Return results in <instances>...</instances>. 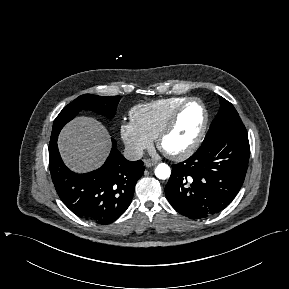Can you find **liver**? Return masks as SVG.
<instances>
[{
	"mask_svg": "<svg viewBox=\"0 0 289 289\" xmlns=\"http://www.w3.org/2000/svg\"><path fill=\"white\" fill-rule=\"evenodd\" d=\"M58 147L66 165L84 173L104 163L111 148L110 135L99 121L80 116L63 128Z\"/></svg>",
	"mask_w": 289,
	"mask_h": 289,
	"instance_id": "6515ba94",
	"label": "liver"
}]
</instances>
